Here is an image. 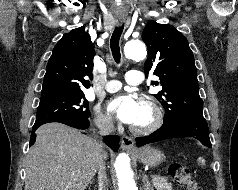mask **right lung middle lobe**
<instances>
[{
    "label": "right lung middle lobe",
    "mask_w": 238,
    "mask_h": 190,
    "mask_svg": "<svg viewBox=\"0 0 238 190\" xmlns=\"http://www.w3.org/2000/svg\"><path fill=\"white\" fill-rule=\"evenodd\" d=\"M84 93H67L41 97L35 123L59 119L89 117Z\"/></svg>",
    "instance_id": "obj_1"
}]
</instances>
